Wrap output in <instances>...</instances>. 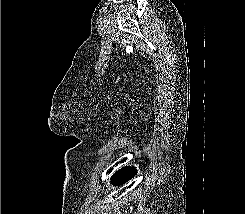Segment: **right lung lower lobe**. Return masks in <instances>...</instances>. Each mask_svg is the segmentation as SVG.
Segmentation results:
<instances>
[{
  "label": "right lung lower lobe",
  "mask_w": 245,
  "mask_h": 214,
  "mask_svg": "<svg viewBox=\"0 0 245 214\" xmlns=\"http://www.w3.org/2000/svg\"><path fill=\"white\" fill-rule=\"evenodd\" d=\"M136 170L132 167H124L117 171L111 178V183L114 185L123 184L129 181L136 174Z\"/></svg>",
  "instance_id": "1"
}]
</instances>
